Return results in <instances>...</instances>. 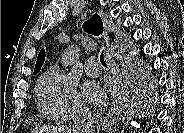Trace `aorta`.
<instances>
[{
    "instance_id": "obj_1",
    "label": "aorta",
    "mask_w": 184,
    "mask_h": 133,
    "mask_svg": "<svg viewBox=\"0 0 184 133\" xmlns=\"http://www.w3.org/2000/svg\"><path fill=\"white\" fill-rule=\"evenodd\" d=\"M78 49L74 46H69L61 55L62 65L67 67L74 63L75 57L77 56Z\"/></svg>"
}]
</instances>
